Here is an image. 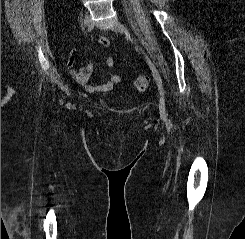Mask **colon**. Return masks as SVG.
Wrapping results in <instances>:
<instances>
[{
  "label": "colon",
  "mask_w": 245,
  "mask_h": 239,
  "mask_svg": "<svg viewBox=\"0 0 245 239\" xmlns=\"http://www.w3.org/2000/svg\"><path fill=\"white\" fill-rule=\"evenodd\" d=\"M150 84V78L147 75H139L135 79V87L139 91H145Z\"/></svg>",
  "instance_id": "5ec220e1"
}]
</instances>
